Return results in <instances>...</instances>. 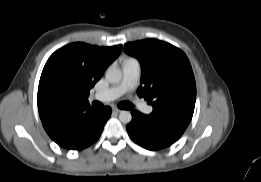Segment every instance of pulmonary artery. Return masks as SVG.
Wrapping results in <instances>:
<instances>
[{
	"instance_id": "1",
	"label": "pulmonary artery",
	"mask_w": 261,
	"mask_h": 182,
	"mask_svg": "<svg viewBox=\"0 0 261 182\" xmlns=\"http://www.w3.org/2000/svg\"><path fill=\"white\" fill-rule=\"evenodd\" d=\"M123 78L119 85L111 87L103 92H98L91 96L92 100H97L100 102H109L117 99L123 93H125L133 84L139 72V63L138 61L132 59L126 61L122 65ZM140 110L145 114L152 113V107L141 104Z\"/></svg>"
}]
</instances>
